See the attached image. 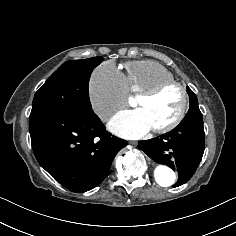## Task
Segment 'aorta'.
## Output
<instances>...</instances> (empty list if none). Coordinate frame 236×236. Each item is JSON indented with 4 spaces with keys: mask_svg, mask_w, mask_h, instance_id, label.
Instances as JSON below:
<instances>
[{
    "mask_svg": "<svg viewBox=\"0 0 236 236\" xmlns=\"http://www.w3.org/2000/svg\"><path fill=\"white\" fill-rule=\"evenodd\" d=\"M154 177L157 184L168 187L175 183V172L166 165L159 164L154 170Z\"/></svg>",
    "mask_w": 236,
    "mask_h": 236,
    "instance_id": "obj_1",
    "label": "aorta"
}]
</instances>
